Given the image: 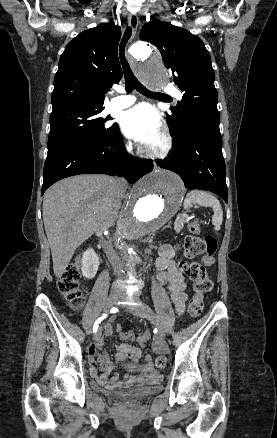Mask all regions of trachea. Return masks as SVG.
<instances>
[{
  "mask_svg": "<svg viewBox=\"0 0 277 438\" xmlns=\"http://www.w3.org/2000/svg\"><path fill=\"white\" fill-rule=\"evenodd\" d=\"M131 34H132L131 28L130 27L126 28V31L122 37L120 47H119V57H120L121 65L123 68L124 78H125V90L127 93H131L132 90L135 89L139 93H142V95H146V96L153 95V93L150 92L149 90H147L134 76V74L130 68V65L125 57V47H126V44L129 40V38L131 37Z\"/></svg>",
  "mask_w": 277,
  "mask_h": 438,
  "instance_id": "obj_1",
  "label": "trachea"
}]
</instances>
